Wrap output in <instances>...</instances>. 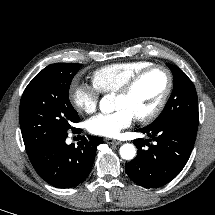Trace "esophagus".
Masks as SVG:
<instances>
[{"label": "esophagus", "mask_w": 215, "mask_h": 215, "mask_svg": "<svg viewBox=\"0 0 215 215\" xmlns=\"http://www.w3.org/2000/svg\"><path fill=\"white\" fill-rule=\"evenodd\" d=\"M105 142L108 143V144H115V145L122 144L121 141L115 140V139H111V138H105Z\"/></svg>", "instance_id": "1"}]
</instances>
